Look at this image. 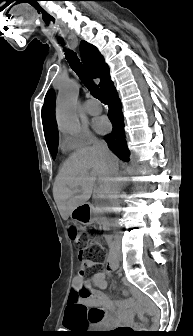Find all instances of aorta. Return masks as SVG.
Returning <instances> with one entry per match:
<instances>
[{
    "mask_svg": "<svg viewBox=\"0 0 193 336\" xmlns=\"http://www.w3.org/2000/svg\"><path fill=\"white\" fill-rule=\"evenodd\" d=\"M78 95L79 86L75 80L61 82L56 104V120L63 132H75L80 127L76 110Z\"/></svg>",
    "mask_w": 193,
    "mask_h": 336,
    "instance_id": "obj_1",
    "label": "aorta"
}]
</instances>
